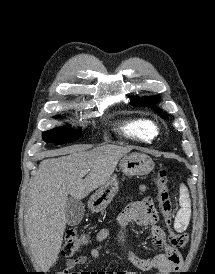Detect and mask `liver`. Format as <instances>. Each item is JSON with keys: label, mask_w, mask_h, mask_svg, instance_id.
Segmentation results:
<instances>
[{"label": "liver", "mask_w": 215, "mask_h": 274, "mask_svg": "<svg viewBox=\"0 0 215 274\" xmlns=\"http://www.w3.org/2000/svg\"><path fill=\"white\" fill-rule=\"evenodd\" d=\"M129 151L104 145L89 151L70 148L45 154L51 158L40 163L29 184L24 216L28 244L39 270L48 271L58 258L67 224L68 195L79 200L87 197L111 178L117 163ZM85 170L89 172L83 179Z\"/></svg>", "instance_id": "liver-1"}]
</instances>
